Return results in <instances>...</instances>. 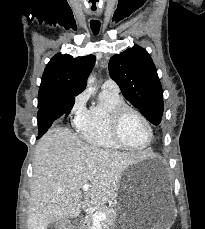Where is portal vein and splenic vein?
Listing matches in <instances>:
<instances>
[{
	"instance_id": "18ae733b",
	"label": "portal vein and splenic vein",
	"mask_w": 205,
	"mask_h": 229,
	"mask_svg": "<svg viewBox=\"0 0 205 229\" xmlns=\"http://www.w3.org/2000/svg\"><path fill=\"white\" fill-rule=\"evenodd\" d=\"M90 189V185L89 184H84L82 186V190L84 192H87ZM107 218V214L104 212H95L93 214V223H99L102 220H105Z\"/></svg>"
}]
</instances>
